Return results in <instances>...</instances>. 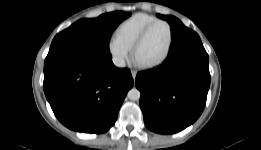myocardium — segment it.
<instances>
[{"instance_id":"obj_1","label":"myocardium","mask_w":261,"mask_h":150,"mask_svg":"<svg viewBox=\"0 0 261 150\" xmlns=\"http://www.w3.org/2000/svg\"><path fill=\"white\" fill-rule=\"evenodd\" d=\"M158 24H164L167 26L168 30H169V44H168V48H167V51L165 53V55L155 61V62H152V63H140L138 60H137V52L140 48V46L143 44V42L146 40L147 36L149 35L150 31ZM173 43H174V33H173V28L172 26L170 25L169 22L165 21V20H162V19H158L152 23H150L141 33L140 35L138 36V38L136 39L133 47H132V54H133V58L134 60L137 62V64L142 67V68H146V69H152V68H156V67H159L161 65H163L167 60L168 58L170 57L171 55V52H172V48H173Z\"/></svg>"}]
</instances>
